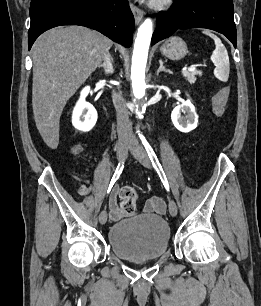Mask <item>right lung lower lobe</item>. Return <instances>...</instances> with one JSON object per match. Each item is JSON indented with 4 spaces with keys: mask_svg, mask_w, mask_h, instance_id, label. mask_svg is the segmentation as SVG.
I'll return each instance as SVG.
<instances>
[{
    "mask_svg": "<svg viewBox=\"0 0 261 306\" xmlns=\"http://www.w3.org/2000/svg\"><path fill=\"white\" fill-rule=\"evenodd\" d=\"M28 47L48 29L81 25L130 47L134 17L127 0H31Z\"/></svg>",
    "mask_w": 261,
    "mask_h": 306,
    "instance_id": "right-lung-lower-lobe-1",
    "label": "right lung lower lobe"
}]
</instances>
